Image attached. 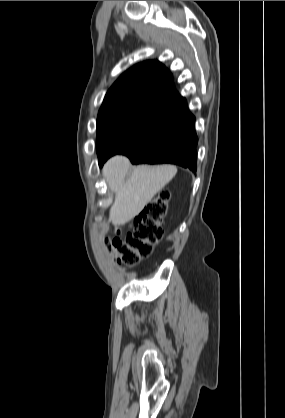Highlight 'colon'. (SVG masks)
I'll return each mask as SVG.
<instances>
[{
    "mask_svg": "<svg viewBox=\"0 0 285 418\" xmlns=\"http://www.w3.org/2000/svg\"><path fill=\"white\" fill-rule=\"evenodd\" d=\"M170 192L162 190L147 207L139 213L129 230L117 234L106 242L117 255V261L133 266L152 254L156 243L163 237L161 222L167 214Z\"/></svg>",
    "mask_w": 285,
    "mask_h": 418,
    "instance_id": "obj_1",
    "label": "colon"
}]
</instances>
